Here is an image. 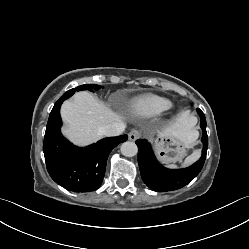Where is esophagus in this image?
<instances>
[{"instance_id": "34e87169", "label": "esophagus", "mask_w": 249, "mask_h": 249, "mask_svg": "<svg viewBox=\"0 0 249 249\" xmlns=\"http://www.w3.org/2000/svg\"><path fill=\"white\" fill-rule=\"evenodd\" d=\"M140 136H141V133H140V131L139 130H137V129H133L130 133H129V140H131V141H135V140H137L138 138H140Z\"/></svg>"}]
</instances>
